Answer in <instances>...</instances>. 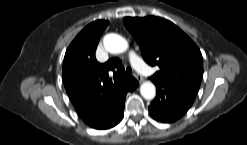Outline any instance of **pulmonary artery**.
<instances>
[{
  "label": "pulmonary artery",
  "mask_w": 247,
  "mask_h": 145,
  "mask_svg": "<svg viewBox=\"0 0 247 145\" xmlns=\"http://www.w3.org/2000/svg\"><path fill=\"white\" fill-rule=\"evenodd\" d=\"M128 58L130 63L137 68L140 72L144 74H150L149 68L146 66V64L137 56L134 52H129Z\"/></svg>",
  "instance_id": "pulmonary-artery-1"
}]
</instances>
